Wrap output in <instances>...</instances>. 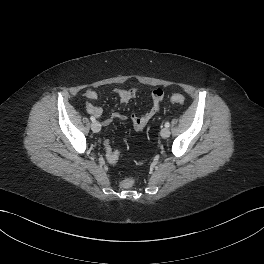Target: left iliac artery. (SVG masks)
<instances>
[{
    "instance_id": "obj_1",
    "label": "left iliac artery",
    "mask_w": 264,
    "mask_h": 264,
    "mask_svg": "<svg viewBox=\"0 0 264 264\" xmlns=\"http://www.w3.org/2000/svg\"><path fill=\"white\" fill-rule=\"evenodd\" d=\"M169 126H170V123H169V122H166V123H165V127L168 128Z\"/></svg>"
}]
</instances>
